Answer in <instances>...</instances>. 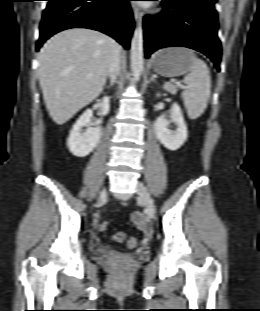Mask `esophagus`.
Instances as JSON below:
<instances>
[{"label":"esophagus","mask_w":260,"mask_h":311,"mask_svg":"<svg viewBox=\"0 0 260 311\" xmlns=\"http://www.w3.org/2000/svg\"><path fill=\"white\" fill-rule=\"evenodd\" d=\"M132 11H133V14H134V18L138 21V22H141L142 20V17H143V13L142 11L140 10L139 7L133 5L132 6Z\"/></svg>","instance_id":"esophagus-1"}]
</instances>
